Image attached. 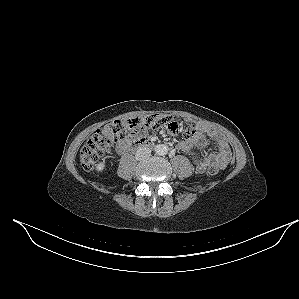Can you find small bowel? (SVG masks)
I'll return each instance as SVG.
<instances>
[{
    "label": "small bowel",
    "instance_id": "c3829d8e",
    "mask_svg": "<svg viewBox=\"0 0 299 299\" xmlns=\"http://www.w3.org/2000/svg\"><path fill=\"white\" fill-rule=\"evenodd\" d=\"M205 128L199 126L194 137L185 138L178 143V148L188 154L194 156V165L199 172H204L209 166L216 165L220 169L225 168L231 160V149L227 141L215 130H207L208 136L215 139L218 150L204 157L195 155V150L203 148L206 145V139L203 134ZM132 139H126L118 144V151L125 152L129 147Z\"/></svg>",
    "mask_w": 299,
    "mask_h": 299
}]
</instances>
